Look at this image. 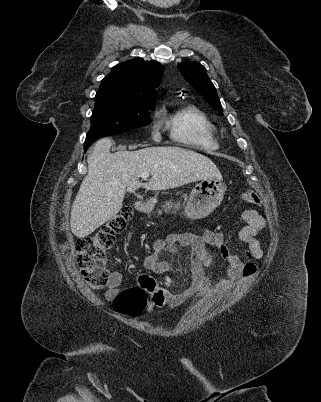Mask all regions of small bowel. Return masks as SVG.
Segmentation results:
<instances>
[{
	"label": "small bowel",
	"instance_id": "obj_1",
	"mask_svg": "<svg viewBox=\"0 0 321 402\" xmlns=\"http://www.w3.org/2000/svg\"><path fill=\"white\" fill-rule=\"evenodd\" d=\"M244 224L238 233L239 240L246 245V254L249 258L260 259L263 252L257 239L258 233L265 227L264 219L255 210H246L240 217ZM208 245L216 248L218 254L226 264V276L220 278L216 285L224 291L235 286L240 280L251 279L257 272V264L252 261H244L237 254L230 251L225 243L224 236L220 232L208 231L204 234L191 232L172 233L164 239L157 240L153 245V253L144 259V267L153 273L161 274L171 270L172 264L162 257L166 253H176L178 247H189L190 270L192 284L180 293H173L160 286L148 276H141L139 283L150 295L147 305V313L151 314L155 308L179 307L193 297H203L212 288V279L204 274V268L212 263V255L207 249ZM122 274L111 271L108 280L106 297L112 300L119 293L122 282Z\"/></svg>",
	"mask_w": 321,
	"mask_h": 402
}]
</instances>
